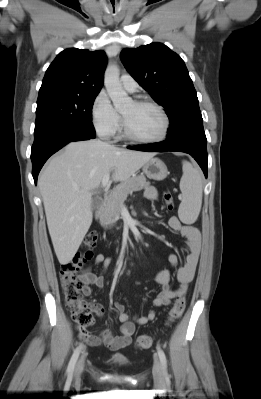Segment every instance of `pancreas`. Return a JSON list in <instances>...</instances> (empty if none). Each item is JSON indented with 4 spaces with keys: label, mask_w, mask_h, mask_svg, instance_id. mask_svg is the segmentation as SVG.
<instances>
[{
    "label": "pancreas",
    "mask_w": 261,
    "mask_h": 399,
    "mask_svg": "<svg viewBox=\"0 0 261 399\" xmlns=\"http://www.w3.org/2000/svg\"><path fill=\"white\" fill-rule=\"evenodd\" d=\"M150 183L144 175H138L127 179L118 185L112 192L107 205L104 207L100 215V223L102 226H112L119 219L120 211L124 201L129 194L134 191H140L149 186Z\"/></svg>",
    "instance_id": "pancreas-1"
}]
</instances>
